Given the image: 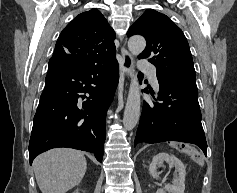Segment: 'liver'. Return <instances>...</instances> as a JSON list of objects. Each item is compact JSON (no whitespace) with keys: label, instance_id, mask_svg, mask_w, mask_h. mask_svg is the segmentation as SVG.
I'll list each match as a JSON object with an SVG mask.
<instances>
[{"label":"liver","instance_id":"obj_1","mask_svg":"<svg viewBox=\"0 0 237 193\" xmlns=\"http://www.w3.org/2000/svg\"><path fill=\"white\" fill-rule=\"evenodd\" d=\"M33 169L42 193H66L83 179L87 161L80 151L56 148L37 156Z\"/></svg>","mask_w":237,"mask_h":193}]
</instances>
